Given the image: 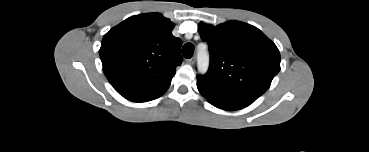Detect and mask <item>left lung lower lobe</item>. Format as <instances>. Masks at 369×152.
<instances>
[{
  "mask_svg": "<svg viewBox=\"0 0 369 152\" xmlns=\"http://www.w3.org/2000/svg\"><path fill=\"white\" fill-rule=\"evenodd\" d=\"M199 92L209 103L223 110H239L253 103L257 98L214 88L197 80Z\"/></svg>",
  "mask_w": 369,
  "mask_h": 152,
  "instance_id": "left-lung-lower-lobe-1",
  "label": "left lung lower lobe"
}]
</instances>
